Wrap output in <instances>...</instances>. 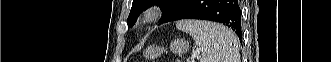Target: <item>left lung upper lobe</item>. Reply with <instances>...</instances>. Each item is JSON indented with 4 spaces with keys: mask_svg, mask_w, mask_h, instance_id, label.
<instances>
[{
    "mask_svg": "<svg viewBox=\"0 0 331 62\" xmlns=\"http://www.w3.org/2000/svg\"><path fill=\"white\" fill-rule=\"evenodd\" d=\"M185 0H133L132 8L128 16V26L134 25L138 15L152 5H158L163 10L160 23L163 24L176 13Z\"/></svg>",
    "mask_w": 331,
    "mask_h": 62,
    "instance_id": "1",
    "label": "left lung upper lobe"
}]
</instances>
